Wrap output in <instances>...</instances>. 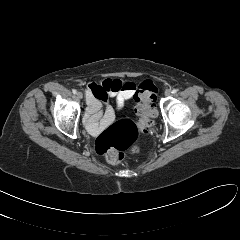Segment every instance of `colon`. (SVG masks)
Returning a JSON list of instances; mask_svg holds the SVG:
<instances>
[{
	"instance_id": "colon-1",
	"label": "colon",
	"mask_w": 240,
	"mask_h": 240,
	"mask_svg": "<svg viewBox=\"0 0 240 240\" xmlns=\"http://www.w3.org/2000/svg\"><path fill=\"white\" fill-rule=\"evenodd\" d=\"M157 88L150 80L141 82L135 91L137 121L123 119L103 131L96 139V151L111 164L122 161L125 151L137 152V139L147 132L156 116Z\"/></svg>"
}]
</instances>
